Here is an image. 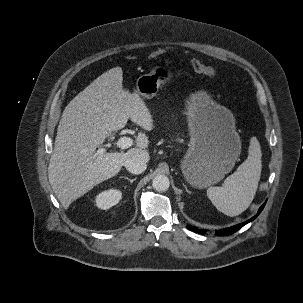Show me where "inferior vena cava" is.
<instances>
[{
	"instance_id": "obj_1",
	"label": "inferior vena cava",
	"mask_w": 303,
	"mask_h": 303,
	"mask_svg": "<svg viewBox=\"0 0 303 303\" xmlns=\"http://www.w3.org/2000/svg\"><path fill=\"white\" fill-rule=\"evenodd\" d=\"M146 160L141 157H132L125 161V168L132 174H141L147 168Z\"/></svg>"
}]
</instances>
